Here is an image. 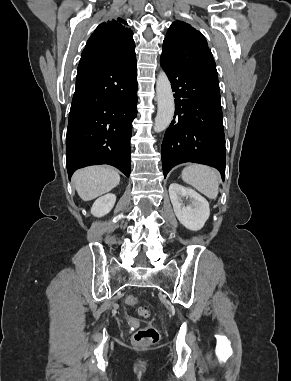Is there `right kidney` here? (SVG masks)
<instances>
[{"instance_id":"ca27d5eb","label":"right kidney","mask_w":291,"mask_h":381,"mask_svg":"<svg viewBox=\"0 0 291 381\" xmlns=\"http://www.w3.org/2000/svg\"><path fill=\"white\" fill-rule=\"evenodd\" d=\"M115 202H116L115 194H111V193L106 194L98 198L94 202L91 208V214L95 217H102L108 214L112 210Z\"/></svg>"}]
</instances>
